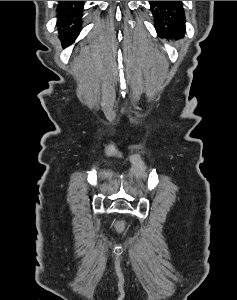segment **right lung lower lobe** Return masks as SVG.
<instances>
[{
	"mask_svg": "<svg viewBox=\"0 0 237 300\" xmlns=\"http://www.w3.org/2000/svg\"><path fill=\"white\" fill-rule=\"evenodd\" d=\"M84 1H60L57 7L59 38L63 46L72 44L80 33Z\"/></svg>",
	"mask_w": 237,
	"mask_h": 300,
	"instance_id": "right-lung-lower-lobe-1",
	"label": "right lung lower lobe"
}]
</instances>
